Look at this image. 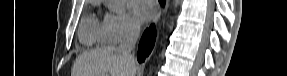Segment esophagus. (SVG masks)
I'll return each mask as SVG.
<instances>
[{"label": "esophagus", "mask_w": 287, "mask_h": 76, "mask_svg": "<svg viewBox=\"0 0 287 76\" xmlns=\"http://www.w3.org/2000/svg\"><path fill=\"white\" fill-rule=\"evenodd\" d=\"M160 14H161V7L158 6L157 13H156V15H155V17H154V19H153V22H154V23H156V22L158 21V19H159V17H160Z\"/></svg>", "instance_id": "obj_1"}]
</instances>
